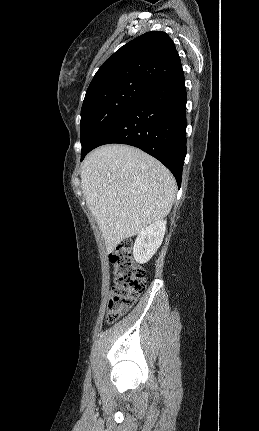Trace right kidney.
Listing matches in <instances>:
<instances>
[{"label": "right kidney", "instance_id": "ca27d5eb", "mask_svg": "<svg viewBox=\"0 0 259 431\" xmlns=\"http://www.w3.org/2000/svg\"><path fill=\"white\" fill-rule=\"evenodd\" d=\"M166 223V220H157L140 231L133 248L136 262L144 264L155 254L163 241Z\"/></svg>", "mask_w": 259, "mask_h": 431}]
</instances>
